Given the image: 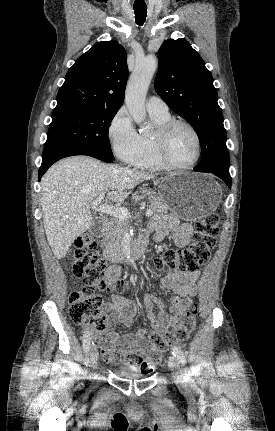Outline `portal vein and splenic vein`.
I'll return each instance as SVG.
<instances>
[{"label": "portal vein and splenic vein", "mask_w": 275, "mask_h": 431, "mask_svg": "<svg viewBox=\"0 0 275 431\" xmlns=\"http://www.w3.org/2000/svg\"><path fill=\"white\" fill-rule=\"evenodd\" d=\"M105 194L102 192L99 197L91 203V208L94 210H97L104 214H109L121 219H126L129 217V211L127 208L124 207H116L111 205H100L102 199L104 198ZM147 216L153 215V210L149 209L146 212Z\"/></svg>", "instance_id": "obj_1"}]
</instances>
